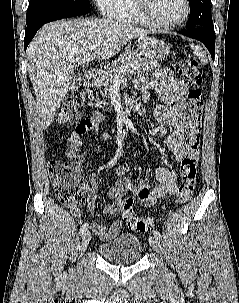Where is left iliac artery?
Listing matches in <instances>:
<instances>
[{
	"mask_svg": "<svg viewBox=\"0 0 239 303\" xmlns=\"http://www.w3.org/2000/svg\"><path fill=\"white\" fill-rule=\"evenodd\" d=\"M153 234H154V236H155V237H158V238H160V237H161L160 232H159V231H157V230H154Z\"/></svg>",
	"mask_w": 239,
	"mask_h": 303,
	"instance_id": "44dca946",
	"label": "left iliac artery"
}]
</instances>
